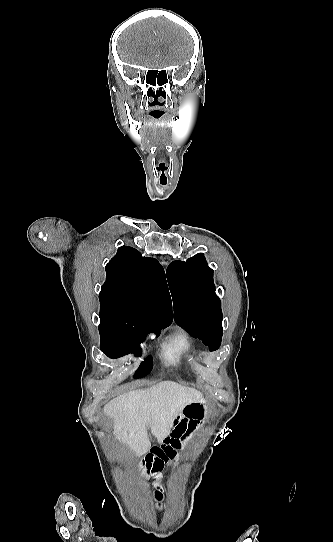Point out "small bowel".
<instances>
[{"instance_id": "obj_1", "label": "small bowel", "mask_w": 333, "mask_h": 542, "mask_svg": "<svg viewBox=\"0 0 333 542\" xmlns=\"http://www.w3.org/2000/svg\"><path fill=\"white\" fill-rule=\"evenodd\" d=\"M172 422L164 448H153L144 463L142 480L147 483L148 490L156 501L163 498L165 484L161 474L164 463L168 458H174L176 452L187 448L197 438L200 420L205 416L206 409L200 404H189ZM152 479L151 485L148 482ZM161 510V505H157Z\"/></svg>"}]
</instances>
